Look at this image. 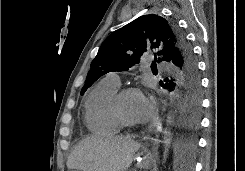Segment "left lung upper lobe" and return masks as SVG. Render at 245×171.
<instances>
[{
	"mask_svg": "<svg viewBox=\"0 0 245 171\" xmlns=\"http://www.w3.org/2000/svg\"><path fill=\"white\" fill-rule=\"evenodd\" d=\"M187 49L191 50L173 21L156 14L140 16L114 31L102 43L91 63L81 95L101 76L113 71H127L140 62V56L150 51L155 55L153 67L156 62L171 63L176 52Z\"/></svg>",
	"mask_w": 245,
	"mask_h": 171,
	"instance_id": "5c2ea615",
	"label": "left lung upper lobe"
}]
</instances>
